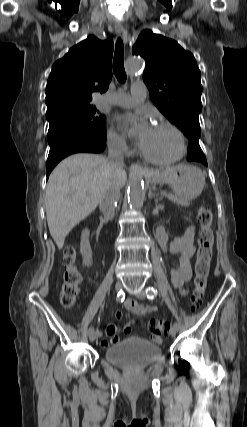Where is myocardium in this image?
Instances as JSON below:
<instances>
[{
    "label": "myocardium",
    "instance_id": "obj_1",
    "mask_svg": "<svg viewBox=\"0 0 247 427\" xmlns=\"http://www.w3.org/2000/svg\"><path fill=\"white\" fill-rule=\"evenodd\" d=\"M155 127H163L169 129L177 138L178 141V150L176 154L170 158H154L148 155L143 149L140 150L141 156L148 162L155 165H170L178 162L185 154L186 143L185 137L182 131L173 123L168 121H160L155 125Z\"/></svg>",
    "mask_w": 247,
    "mask_h": 427
}]
</instances>
